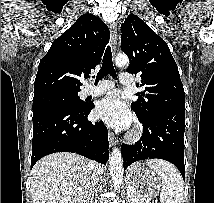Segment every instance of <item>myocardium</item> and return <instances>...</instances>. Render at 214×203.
<instances>
[{
	"label": "myocardium",
	"mask_w": 214,
	"mask_h": 203,
	"mask_svg": "<svg viewBox=\"0 0 214 203\" xmlns=\"http://www.w3.org/2000/svg\"><path fill=\"white\" fill-rule=\"evenodd\" d=\"M141 136V133H140V131H134L131 135H130V139H132V140H136V139H138L139 137Z\"/></svg>",
	"instance_id": "myocardium-1"
}]
</instances>
